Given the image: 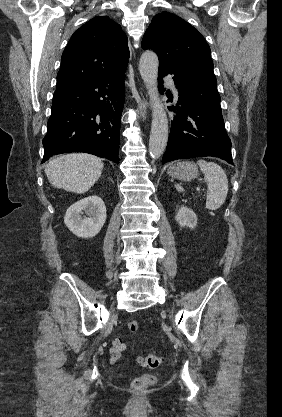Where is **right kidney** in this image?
<instances>
[{"instance_id": "obj_1", "label": "right kidney", "mask_w": 282, "mask_h": 417, "mask_svg": "<svg viewBox=\"0 0 282 417\" xmlns=\"http://www.w3.org/2000/svg\"><path fill=\"white\" fill-rule=\"evenodd\" d=\"M83 211L86 213L85 217H82ZM106 217L104 200L97 194H92V196L81 198V200H77L69 206L64 217V223L76 237L90 239V237H95L100 233Z\"/></svg>"}]
</instances>
